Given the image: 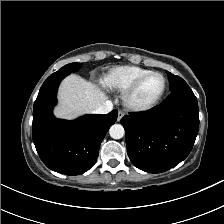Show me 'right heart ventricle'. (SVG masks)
Returning a JSON list of instances; mask_svg holds the SVG:
<instances>
[{"label":"right heart ventricle","instance_id":"right-heart-ventricle-1","mask_svg":"<svg viewBox=\"0 0 224 224\" xmlns=\"http://www.w3.org/2000/svg\"><path fill=\"white\" fill-rule=\"evenodd\" d=\"M149 72H151V70L139 66H119L110 70L104 76L102 84L108 90L124 92L139 77Z\"/></svg>","mask_w":224,"mask_h":224}]
</instances>
